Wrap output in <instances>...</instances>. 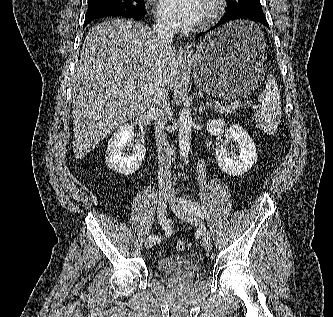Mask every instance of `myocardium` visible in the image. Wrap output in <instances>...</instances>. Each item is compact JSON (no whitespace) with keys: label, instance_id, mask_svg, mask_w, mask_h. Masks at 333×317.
Instances as JSON below:
<instances>
[{"label":"myocardium","instance_id":"obj_1","mask_svg":"<svg viewBox=\"0 0 333 317\" xmlns=\"http://www.w3.org/2000/svg\"><path fill=\"white\" fill-rule=\"evenodd\" d=\"M206 13L199 22L200 28H207L215 23L225 10L224 0H204Z\"/></svg>","mask_w":333,"mask_h":317}]
</instances>
